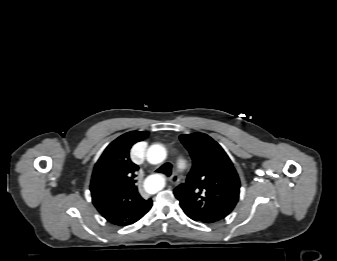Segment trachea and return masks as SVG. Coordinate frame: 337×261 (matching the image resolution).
<instances>
[{
  "label": "trachea",
  "instance_id": "trachea-1",
  "mask_svg": "<svg viewBox=\"0 0 337 261\" xmlns=\"http://www.w3.org/2000/svg\"><path fill=\"white\" fill-rule=\"evenodd\" d=\"M156 172L164 173L167 176H170L171 175V165L169 163H166L162 165L159 169H157Z\"/></svg>",
  "mask_w": 337,
  "mask_h": 261
}]
</instances>
